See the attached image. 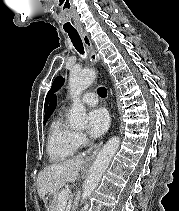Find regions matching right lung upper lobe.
<instances>
[{"instance_id": "1", "label": "right lung upper lobe", "mask_w": 179, "mask_h": 211, "mask_svg": "<svg viewBox=\"0 0 179 211\" xmlns=\"http://www.w3.org/2000/svg\"><path fill=\"white\" fill-rule=\"evenodd\" d=\"M56 104H57V98H56V96H54L52 98V101L50 103V106H49V108H48V110L46 112L45 118H49L51 116L52 112L54 111V109L56 107Z\"/></svg>"}]
</instances>
